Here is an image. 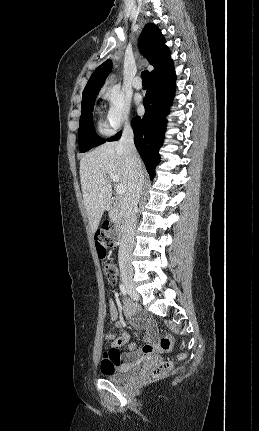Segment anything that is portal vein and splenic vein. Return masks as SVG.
<instances>
[{
  "mask_svg": "<svg viewBox=\"0 0 259 431\" xmlns=\"http://www.w3.org/2000/svg\"><path fill=\"white\" fill-rule=\"evenodd\" d=\"M109 178H110L113 182H118V180H119V178H118V176H117L116 174H110V175H109ZM101 181L103 182V181H105V179H104V178H101ZM116 192H117V194H119V195L124 194V193L126 192V188H125V186H124V185H122V184H118V185H117V188H116Z\"/></svg>",
  "mask_w": 259,
  "mask_h": 431,
  "instance_id": "obj_1",
  "label": "portal vein and splenic vein"
}]
</instances>
